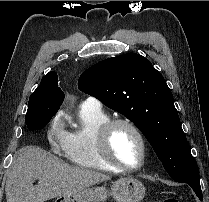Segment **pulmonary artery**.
<instances>
[{"label": "pulmonary artery", "instance_id": "pulmonary-artery-1", "mask_svg": "<svg viewBox=\"0 0 209 202\" xmlns=\"http://www.w3.org/2000/svg\"><path fill=\"white\" fill-rule=\"evenodd\" d=\"M81 108H95L99 109L101 107V102L95 97H87L80 103Z\"/></svg>", "mask_w": 209, "mask_h": 202}]
</instances>
